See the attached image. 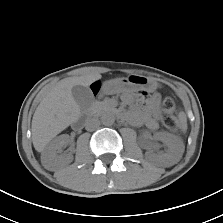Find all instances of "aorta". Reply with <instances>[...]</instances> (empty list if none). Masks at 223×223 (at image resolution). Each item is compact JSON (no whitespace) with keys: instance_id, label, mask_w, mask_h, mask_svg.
<instances>
[{"instance_id":"aorta-1","label":"aorta","mask_w":223,"mask_h":223,"mask_svg":"<svg viewBox=\"0 0 223 223\" xmlns=\"http://www.w3.org/2000/svg\"><path fill=\"white\" fill-rule=\"evenodd\" d=\"M101 122L105 126H111L115 122V117L111 113H106V114L102 115Z\"/></svg>"}]
</instances>
